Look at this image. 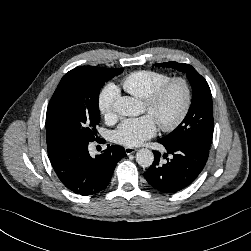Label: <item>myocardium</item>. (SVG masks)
I'll use <instances>...</instances> for the list:
<instances>
[{
    "label": "myocardium",
    "instance_id": "f54148a6",
    "mask_svg": "<svg viewBox=\"0 0 251 251\" xmlns=\"http://www.w3.org/2000/svg\"><path fill=\"white\" fill-rule=\"evenodd\" d=\"M174 86H180L184 93V100L178 115L168 123H158L162 131L170 132L178 128L185 120L191 104H192V89L189 82L183 77H174L168 80L165 84L155 90L147 99L144 100L147 112H151L157 107L166 93Z\"/></svg>",
    "mask_w": 251,
    "mask_h": 251
}]
</instances>
